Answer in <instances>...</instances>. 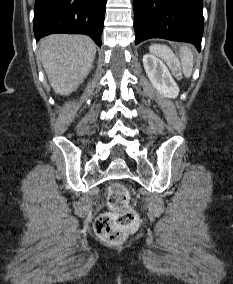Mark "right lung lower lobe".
I'll return each mask as SVG.
<instances>
[{
	"instance_id": "right-lung-lower-lobe-1",
	"label": "right lung lower lobe",
	"mask_w": 233,
	"mask_h": 284,
	"mask_svg": "<svg viewBox=\"0 0 233 284\" xmlns=\"http://www.w3.org/2000/svg\"><path fill=\"white\" fill-rule=\"evenodd\" d=\"M105 6L106 0H36L35 38L52 33L86 34L101 46Z\"/></svg>"
}]
</instances>
